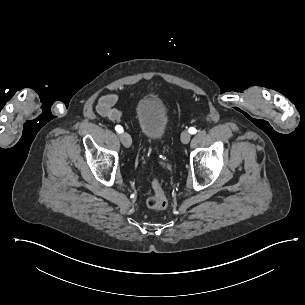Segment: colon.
<instances>
[{
  "label": "colon",
  "instance_id": "obj_1",
  "mask_svg": "<svg viewBox=\"0 0 305 305\" xmlns=\"http://www.w3.org/2000/svg\"><path fill=\"white\" fill-rule=\"evenodd\" d=\"M152 196L148 197L146 203L153 210H163L168 205V198L164 193L160 180L152 174Z\"/></svg>",
  "mask_w": 305,
  "mask_h": 305
}]
</instances>
